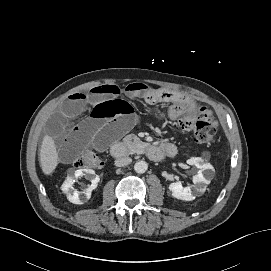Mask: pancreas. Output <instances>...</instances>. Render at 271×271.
<instances>
[{
    "instance_id": "cf45deb5",
    "label": "pancreas",
    "mask_w": 271,
    "mask_h": 271,
    "mask_svg": "<svg viewBox=\"0 0 271 271\" xmlns=\"http://www.w3.org/2000/svg\"><path fill=\"white\" fill-rule=\"evenodd\" d=\"M123 142L132 153H140L144 145V143L134 134L127 135L123 139Z\"/></svg>"
}]
</instances>
